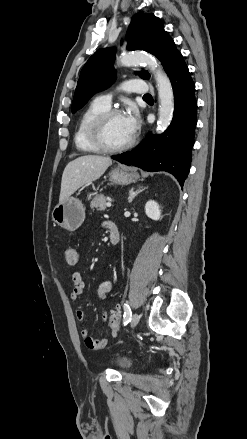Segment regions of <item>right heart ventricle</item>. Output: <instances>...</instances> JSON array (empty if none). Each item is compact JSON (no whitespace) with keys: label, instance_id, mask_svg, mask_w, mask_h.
Here are the masks:
<instances>
[{"label":"right heart ventricle","instance_id":"right-heart-ventricle-1","mask_svg":"<svg viewBox=\"0 0 247 439\" xmlns=\"http://www.w3.org/2000/svg\"><path fill=\"white\" fill-rule=\"evenodd\" d=\"M108 109L109 107L98 100H94L82 113L74 133V144L79 151L84 153L100 152V150L92 144L89 137V130L93 120Z\"/></svg>","mask_w":247,"mask_h":439}]
</instances>
